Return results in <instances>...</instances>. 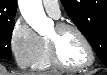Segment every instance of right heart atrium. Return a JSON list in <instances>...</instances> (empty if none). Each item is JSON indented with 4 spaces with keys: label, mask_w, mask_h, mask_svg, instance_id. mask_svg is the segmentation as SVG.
I'll return each mask as SVG.
<instances>
[{
    "label": "right heart atrium",
    "mask_w": 107,
    "mask_h": 75,
    "mask_svg": "<svg viewBox=\"0 0 107 75\" xmlns=\"http://www.w3.org/2000/svg\"><path fill=\"white\" fill-rule=\"evenodd\" d=\"M41 47V38L23 20L18 19L13 25L10 36V48L20 67L32 66Z\"/></svg>",
    "instance_id": "right-heart-atrium-1"
}]
</instances>
